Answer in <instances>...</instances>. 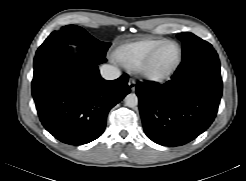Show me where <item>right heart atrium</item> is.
<instances>
[{
  "mask_svg": "<svg viewBox=\"0 0 246 181\" xmlns=\"http://www.w3.org/2000/svg\"><path fill=\"white\" fill-rule=\"evenodd\" d=\"M113 60H114L116 63L121 64V63L118 61V59L115 57V55L113 56Z\"/></svg>",
  "mask_w": 246,
  "mask_h": 181,
  "instance_id": "right-heart-atrium-1",
  "label": "right heart atrium"
}]
</instances>
